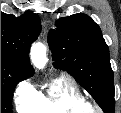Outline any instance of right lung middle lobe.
<instances>
[{
  "instance_id": "obj_1",
  "label": "right lung middle lobe",
  "mask_w": 121,
  "mask_h": 113,
  "mask_svg": "<svg viewBox=\"0 0 121 113\" xmlns=\"http://www.w3.org/2000/svg\"><path fill=\"white\" fill-rule=\"evenodd\" d=\"M29 74L21 68L1 60V113H12V96L16 84L28 78Z\"/></svg>"
}]
</instances>
